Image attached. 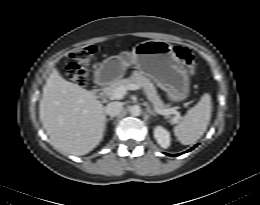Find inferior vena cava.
Segmentation results:
<instances>
[{
    "instance_id": "1",
    "label": "inferior vena cava",
    "mask_w": 260,
    "mask_h": 205,
    "mask_svg": "<svg viewBox=\"0 0 260 205\" xmlns=\"http://www.w3.org/2000/svg\"><path fill=\"white\" fill-rule=\"evenodd\" d=\"M122 109L120 102H111L105 107V113L111 117L117 116Z\"/></svg>"
}]
</instances>
